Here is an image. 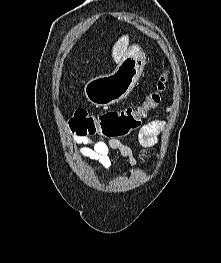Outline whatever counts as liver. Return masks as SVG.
Returning <instances> with one entry per match:
<instances>
[{
	"label": "liver",
	"instance_id": "liver-1",
	"mask_svg": "<svg viewBox=\"0 0 221 263\" xmlns=\"http://www.w3.org/2000/svg\"><path fill=\"white\" fill-rule=\"evenodd\" d=\"M129 44V36L123 35L118 39L112 49V57L117 63L125 54L127 46Z\"/></svg>",
	"mask_w": 221,
	"mask_h": 263
}]
</instances>
